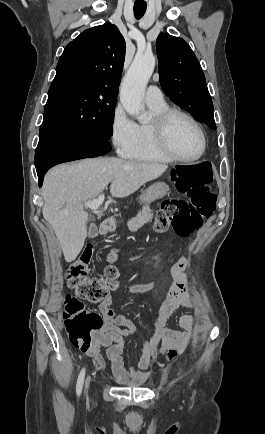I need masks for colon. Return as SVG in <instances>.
<instances>
[{
	"instance_id": "obj_1",
	"label": "colon",
	"mask_w": 265,
	"mask_h": 434,
	"mask_svg": "<svg viewBox=\"0 0 265 434\" xmlns=\"http://www.w3.org/2000/svg\"><path fill=\"white\" fill-rule=\"evenodd\" d=\"M173 174L179 179L180 189H185L189 200L168 198L157 210L156 225L160 231H173L177 236L187 237L209 218L215 209L217 194L211 190L213 174L210 164H173ZM94 250L86 251L82 257L67 269L65 280L76 294L66 295L67 310L64 311L63 334L68 335L71 347H90L91 335H96L104 319L94 311H85V303L100 304L107 302L116 290L118 271L114 266L103 270L100 278H91L88 265ZM111 254L108 261L113 262ZM79 298L78 302H75ZM82 299V300H81ZM84 331V332H81ZM186 346V345H185ZM166 359L173 362L180 355L175 349H166Z\"/></svg>"
}]
</instances>
